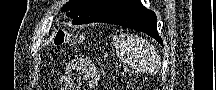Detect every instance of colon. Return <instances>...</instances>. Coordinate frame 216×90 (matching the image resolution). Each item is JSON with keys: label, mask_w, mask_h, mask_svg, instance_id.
I'll list each match as a JSON object with an SVG mask.
<instances>
[{"label": "colon", "mask_w": 216, "mask_h": 90, "mask_svg": "<svg viewBox=\"0 0 216 90\" xmlns=\"http://www.w3.org/2000/svg\"><path fill=\"white\" fill-rule=\"evenodd\" d=\"M78 38L66 31H59L55 36V43L59 46H70L77 42Z\"/></svg>", "instance_id": "1"}]
</instances>
